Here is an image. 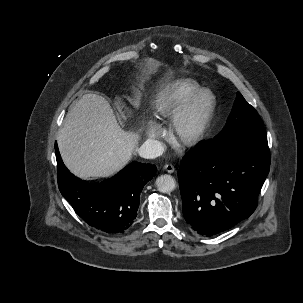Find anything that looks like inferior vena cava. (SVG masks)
Masks as SVG:
<instances>
[{
	"instance_id": "602c4592",
	"label": "inferior vena cava",
	"mask_w": 303,
	"mask_h": 303,
	"mask_svg": "<svg viewBox=\"0 0 303 303\" xmlns=\"http://www.w3.org/2000/svg\"><path fill=\"white\" fill-rule=\"evenodd\" d=\"M163 152L164 147L162 143L154 139L146 140L138 150L139 155L147 159L159 157L163 154Z\"/></svg>"
}]
</instances>
